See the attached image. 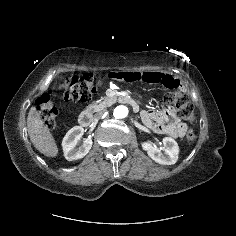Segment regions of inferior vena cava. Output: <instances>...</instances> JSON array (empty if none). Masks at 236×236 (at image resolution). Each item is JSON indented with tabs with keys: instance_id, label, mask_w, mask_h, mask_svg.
<instances>
[{
	"instance_id": "602c4592",
	"label": "inferior vena cava",
	"mask_w": 236,
	"mask_h": 236,
	"mask_svg": "<svg viewBox=\"0 0 236 236\" xmlns=\"http://www.w3.org/2000/svg\"><path fill=\"white\" fill-rule=\"evenodd\" d=\"M103 113H104V112H99V113L95 114L93 119H94L95 121H97L98 119H100V118L102 117Z\"/></svg>"
}]
</instances>
